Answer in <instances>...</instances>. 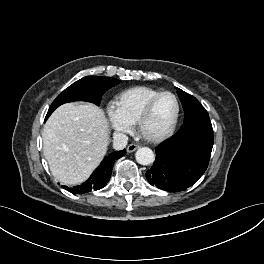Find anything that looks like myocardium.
Returning <instances> with one entry per match:
<instances>
[{
  "mask_svg": "<svg viewBox=\"0 0 264 264\" xmlns=\"http://www.w3.org/2000/svg\"><path fill=\"white\" fill-rule=\"evenodd\" d=\"M164 95H170L171 97H173V99L175 101L176 112H175L174 118H173L170 126L161 134L147 135L143 131L144 124L147 121V119L149 118L155 103ZM179 115H180V103H179L177 96L170 91H162V92L156 94L155 96H153L146 103L145 107L141 111V113H140V115L136 121V127H137V130H138L139 134L141 135V137L144 138L146 141L151 142V143H159V142L166 140L167 138H169L173 134V132L175 131V128L177 126L178 120H179Z\"/></svg>",
  "mask_w": 264,
  "mask_h": 264,
  "instance_id": "obj_1",
  "label": "myocardium"
}]
</instances>
